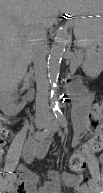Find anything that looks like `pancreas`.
<instances>
[{"mask_svg":"<svg viewBox=\"0 0 103 193\" xmlns=\"http://www.w3.org/2000/svg\"><path fill=\"white\" fill-rule=\"evenodd\" d=\"M78 57H79V58H82L81 52H78Z\"/></svg>","mask_w":103,"mask_h":193,"instance_id":"obj_1","label":"pancreas"}]
</instances>
